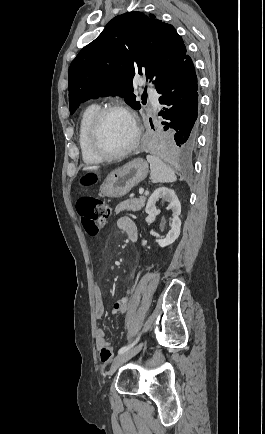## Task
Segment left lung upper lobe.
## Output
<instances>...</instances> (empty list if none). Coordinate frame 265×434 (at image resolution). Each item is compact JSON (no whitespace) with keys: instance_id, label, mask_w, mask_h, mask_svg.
I'll list each match as a JSON object with an SVG mask.
<instances>
[{"instance_id":"5c2ea615","label":"left lung upper lobe","mask_w":265,"mask_h":434,"mask_svg":"<svg viewBox=\"0 0 265 434\" xmlns=\"http://www.w3.org/2000/svg\"><path fill=\"white\" fill-rule=\"evenodd\" d=\"M187 55L176 29L153 14L116 16L69 67L70 113L89 98L112 95L140 109L133 94L134 76L144 73L160 93Z\"/></svg>"}]
</instances>
